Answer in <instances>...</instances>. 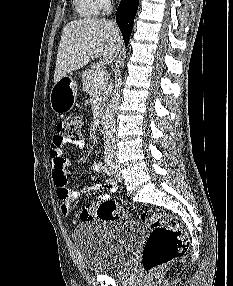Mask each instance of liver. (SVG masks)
I'll list each match as a JSON object with an SVG mask.
<instances>
[{
	"label": "liver",
	"instance_id": "obj_1",
	"mask_svg": "<svg viewBox=\"0 0 233 286\" xmlns=\"http://www.w3.org/2000/svg\"><path fill=\"white\" fill-rule=\"evenodd\" d=\"M121 49V36L114 22L85 18L65 25L59 43L54 82L84 67L91 59L103 56L112 62Z\"/></svg>",
	"mask_w": 233,
	"mask_h": 286
}]
</instances>
